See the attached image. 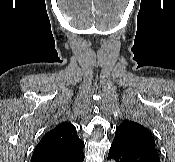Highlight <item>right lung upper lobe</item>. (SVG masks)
<instances>
[{
  "instance_id": "obj_1",
  "label": "right lung upper lobe",
  "mask_w": 175,
  "mask_h": 162,
  "mask_svg": "<svg viewBox=\"0 0 175 162\" xmlns=\"http://www.w3.org/2000/svg\"><path fill=\"white\" fill-rule=\"evenodd\" d=\"M84 142L77 136L76 128L64 122L46 133L31 157V162H39L57 155L73 156L83 152Z\"/></svg>"
}]
</instances>
